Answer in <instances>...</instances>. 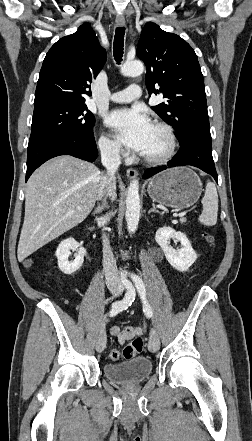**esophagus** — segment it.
I'll return each mask as SVG.
<instances>
[{"instance_id":"obj_1","label":"esophagus","mask_w":252,"mask_h":441,"mask_svg":"<svg viewBox=\"0 0 252 441\" xmlns=\"http://www.w3.org/2000/svg\"><path fill=\"white\" fill-rule=\"evenodd\" d=\"M116 25L122 27L125 25V19L123 17L116 18ZM128 179H134L138 175V171L134 168H129L126 173Z\"/></svg>"}]
</instances>
